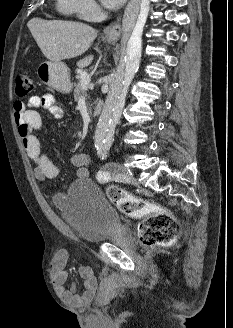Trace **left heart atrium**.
Segmentation results:
<instances>
[{
  "mask_svg": "<svg viewBox=\"0 0 233 328\" xmlns=\"http://www.w3.org/2000/svg\"><path fill=\"white\" fill-rule=\"evenodd\" d=\"M125 0H102L105 6L108 8H117L119 7Z\"/></svg>",
  "mask_w": 233,
  "mask_h": 328,
  "instance_id": "1",
  "label": "left heart atrium"
}]
</instances>
